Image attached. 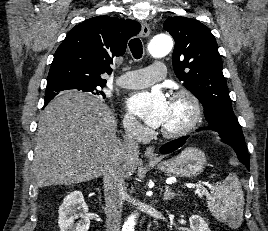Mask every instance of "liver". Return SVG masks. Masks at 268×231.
I'll return each instance as SVG.
<instances>
[{
  "label": "liver",
  "mask_w": 268,
  "mask_h": 231,
  "mask_svg": "<svg viewBox=\"0 0 268 231\" xmlns=\"http://www.w3.org/2000/svg\"><path fill=\"white\" fill-rule=\"evenodd\" d=\"M116 127V118L103 100L78 91L60 93L39 119L33 159L37 186H69L101 176L123 146ZM137 165L138 159L124 160L126 177Z\"/></svg>",
  "instance_id": "obj_1"
}]
</instances>
